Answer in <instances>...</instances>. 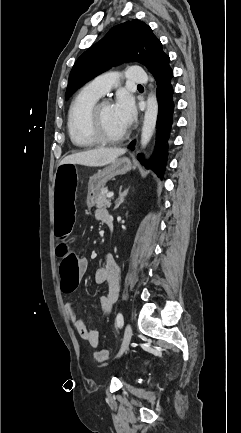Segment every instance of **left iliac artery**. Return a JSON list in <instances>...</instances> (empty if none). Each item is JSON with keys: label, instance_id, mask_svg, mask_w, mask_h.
<instances>
[{"label": "left iliac artery", "instance_id": "left-iliac-artery-1", "mask_svg": "<svg viewBox=\"0 0 241 433\" xmlns=\"http://www.w3.org/2000/svg\"><path fill=\"white\" fill-rule=\"evenodd\" d=\"M116 324H117V327H121L124 324V318H123V315L121 313L117 314Z\"/></svg>", "mask_w": 241, "mask_h": 433}]
</instances>
